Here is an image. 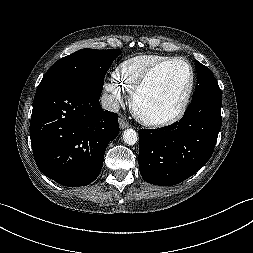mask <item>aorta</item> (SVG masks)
I'll list each match as a JSON object with an SVG mask.
<instances>
[{"instance_id":"762f6f07","label":"aorta","mask_w":253,"mask_h":253,"mask_svg":"<svg viewBox=\"0 0 253 253\" xmlns=\"http://www.w3.org/2000/svg\"><path fill=\"white\" fill-rule=\"evenodd\" d=\"M123 140L128 145H134L138 141L137 132L133 129H126L123 132Z\"/></svg>"}]
</instances>
